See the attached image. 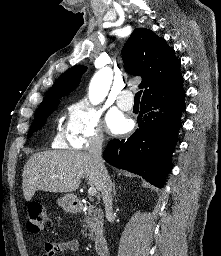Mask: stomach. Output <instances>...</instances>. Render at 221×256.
<instances>
[{
    "label": "stomach",
    "instance_id": "0dacf381",
    "mask_svg": "<svg viewBox=\"0 0 221 256\" xmlns=\"http://www.w3.org/2000/svg\"><path fill=\"white\" fill-rule=\"evenodd\" d=\"M58 204L61 206L66 212L75 211V196L71 194H67L64 197L58 199Z\"/></svg>",
    "mask_w": 221,
    "mask_h": 256
}]
</instances>
